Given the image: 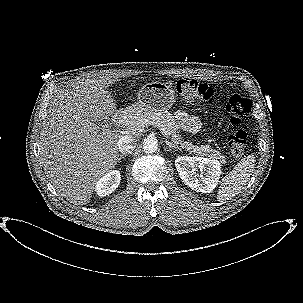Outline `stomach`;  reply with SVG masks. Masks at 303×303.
I'll return each mask as SVG.
<instances>
[{"mask_svg":"<svg viewBox=\"0 0 303 303\" xmlns=\"http://www.w3.org/2000/svg\"><path fill=\"white\" fill-rule=\"evenodd\" d=\"M175 102V92L166 82H149L141 87L137 96V109L142 111H166Z\"/></svg>","mask_w":303,"mask_h":303,"instance_id":"obj_1","label":"stomach"}]
</instances>
